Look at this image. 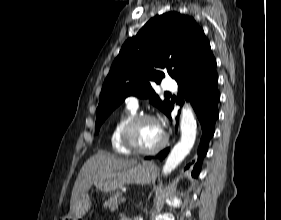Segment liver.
Instances as JSON below:
<instances>
[{"mask_svg":"<svg viewBox=\"0 0 281 220\" xmlns=\"http://www.w3.org/2000/svg\"><path fill=\"white\" fill-rule=\"evenodd\" d=\"M137 164L136 160H125L114 155L98 152L90 157L82 166L74 183L71 194L70 210L87 193L101 175L129 168Z\"/></svg>","mask_w":281,"mask_h":220,"instance_id":"1","label":"liver"}]
</instances>
